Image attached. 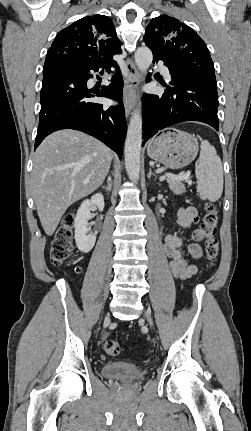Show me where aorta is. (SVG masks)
Returning <instances> with one entry per match:
<instances>
[{"label": "aorta", "mask_w": 251, "mask_h": 431, "mask_svg": "<svg viewBox=\"0 0 251 431\" xmlns=\"http://www.w3.org/2000/svg\"><path fill=\"white\" fill-rule=\"evenodd\" d=\"M135 62L139 71L146 73L153 61V54L148 47H140L135 52ZM142 117L137 108L134 110L125 141V168L131 181H138L140 177V153L142 144Z\"/></svg>", "instance_id": "aorta-1"}]
</instances>
